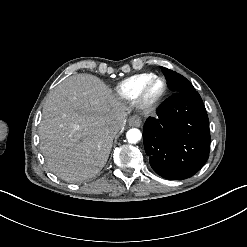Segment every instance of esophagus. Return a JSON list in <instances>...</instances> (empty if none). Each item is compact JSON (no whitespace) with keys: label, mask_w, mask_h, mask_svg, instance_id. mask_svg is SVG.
I'll list each match as a JSON object with an SVG mask.
<instances>
[{"label":"esophagus","mask_w":247,"mask_h":247,"mask_svg":"<svg viewBox=\"0 0 247 247\" xmlns=\"http://www.w3.org/2000/svg\"><path fill=\"white\" fill-rule=\"evenodd\" d=\"M128 123L130 126L139 127L142 123V120H141L140 116L133 115L128 119Z\"/></svg>","instance_id":"1"}]
</instances>
